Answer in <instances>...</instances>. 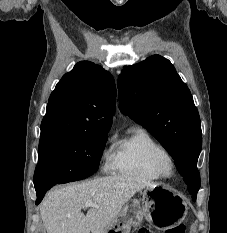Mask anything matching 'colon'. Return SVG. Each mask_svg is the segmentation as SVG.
Listing matches in <instances>:
<instances>
[{"label":"colon","instance_id":"1","mask_svg":"<svg viewBox=\"0 0 227 233\" xmlns=\"http://www.w3.org/2000/svg\"><path fill=\"white\" fill-rule=\"evenodd\" d=\"M138 233H157L151 228H141ZM164 233H185V227L183 225L176 226L174 228H171Z\"/></svg>","mask_w":227,"mask_h":233}]
</instances>
